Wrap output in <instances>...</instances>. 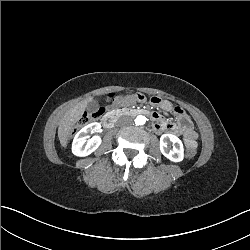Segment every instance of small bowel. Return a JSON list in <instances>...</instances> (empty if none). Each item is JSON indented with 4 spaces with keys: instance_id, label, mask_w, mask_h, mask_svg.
<instances>
[{
    "instance_id": "c3829d8e",
    "label": "small bowel",
    "mask_w": 250,
    "mask_h": 250,
    "mask_svg": "<svg viewBox=\"0 0 250 250\" xmlns=\"http://www.w3.org/2000/svg\"><path fill=\"white\" fill-rule=\"evenodd\" d=\"M134 95H127L124 97H119L118 99L115 100V104L117 105H128L130 103H132L134 101ZM159 104L161 106L162 109L166 110V111H170L173 108V105L171 104V102L167 101V100H162L159 101ZM185 117V116H181L180 118ZM186 118V117H185ZM187 123L186 125H184L183 127V132L185 134V136H187V138H191L193 140L196 139V134L192 129L191 123L190 121L186 118ZM154 129L157 132H160L164 129H176L177 126H175L174 124H160V123H156L154 126Z\"/></svg>"
}]
</instances>
